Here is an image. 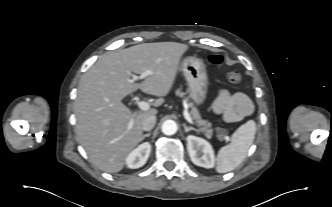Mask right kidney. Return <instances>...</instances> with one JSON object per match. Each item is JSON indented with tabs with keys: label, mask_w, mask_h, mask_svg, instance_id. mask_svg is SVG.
Masks as SVG:
<instances>
[{
	"label": "right kidney",
	"mask_w": 332,
	"mask_h": 207,
	"mask_svg": "<svg viewBox=\"0 0 332 207\" xmlns=\"http://www.w3.org/2000/svg\"><path fill=\"white\" fill-rule=\"evenodd\" d=\"M151 152V145L148 142H145L139 145L136 149H134L126 158V166L131 169H137L142 167Z\"/></svg>",
	"instance_id": "ca27d5eb"
}]
</instances>
